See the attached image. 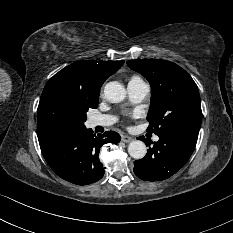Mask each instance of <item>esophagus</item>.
<instances>
[{
    "mask_svg": "<svg viewBox=\"0 0 233 233\" xmlns=\"http://www.w3.org/2000/svg\"><path fill=\"white\" fill-rule=\"evenodd\" d=\"M121 140H122L123 142H125V143H129V142H131V141L133 140V138L130 137V136H128V135H123V136L121 137Z\"/></svg>",
    "mask_w": 233,
    "mask_h": 233,
    "instance_id": "1",
    "label": "esophagus"
}]
</instances>
